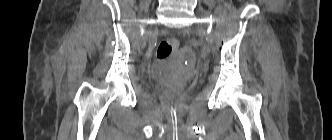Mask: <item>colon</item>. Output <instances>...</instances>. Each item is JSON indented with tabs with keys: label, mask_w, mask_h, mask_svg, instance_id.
I'll list each match as a JSON object with an SVG mask.
<instances>
[{
	"label": "colon",
	"mask_w": 332,
	"mask_h": 140,
	"mask_svg": "<svg viewBox=\"0 0 332 140\" xmlns=\"http://www.w3.org/2000/svg\"><path fill=\"white\" fill-rule=\"evenodd\" d=\"M179 48V41L176 38L163 40L159 43L156 50V57L159 60L169 58Z\"/></svg>",
	"instance_id": "obj_1"
}]
</instances>
